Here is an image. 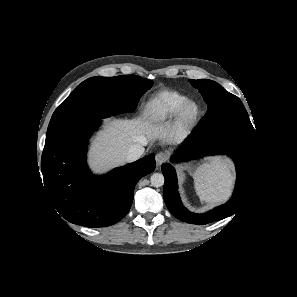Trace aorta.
Returning a JSON list of instances; mask_svg holds the SVG:
<instances>
[{"mask_svg": "<svg viewBox=\"0 0 297 297\" xmlns=\"http://www.w3.org/2000/svg\"><path fill=\"white\" fill-rule=\"evenodd\" d=\"M151 185L154 187H161L164 185V176L161 173H154L151 178Z\"/></svg>", "mask_w": 297, "mask_h": 297, "instance_id": "aorta-1", "label": "aorta"}]
</instances>
